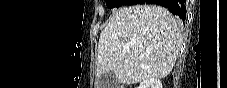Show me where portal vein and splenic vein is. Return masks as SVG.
<instances>
[{
	"label": "portal vein and splenic vein",
	"mask_w": 227,
	"mask_h": 88,
	"mask_svg": "<svg viewBox=\"0 0 227 88\" xmlns=\"http://www.w3.org/2000/svg\"><path fill=\"white\" fill-rule=\"evenodd\" d=\"M124 51L126 52V51H128V49H124Z\"/></svg>",
	"instance_id": "1"
}]
</instances>
